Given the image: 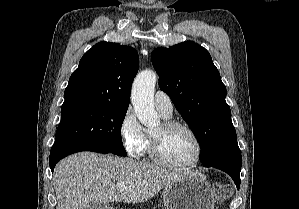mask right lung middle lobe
Instances as JSON below:
<instances>
[{"instance_id":"right-lung-middle-lobe-1","label":"right lung middle lobe","mask_w":299,"mask_h":209,"mask_svg":"<svg viewBox=\"0 0 299 209\" xmlns=\"http://www.w3.org/2000/svg\"><path fill=\"white\" fill-rule=\"evenodd\" d=\"M127 108L105 104L62 105L56 140L100 146L126 156L121 126Z\"/></svg>"}]
</instances>
